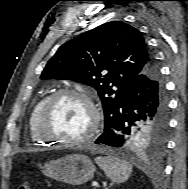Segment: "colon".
<instances>
[{"label":"colon","mask_w":188,"mask_h":189,"mask_svg":"<svg viewBox=\"0 0 188 189\" xmlns=\"http://www.w3.org/2000/svg\"><path fill=\"white\" fill-rule=\"evenodd\" d=\"M18 189H31V185L28 181H24L20 184Z\"/></svg>","instance_id":"1"}]
</instances>
